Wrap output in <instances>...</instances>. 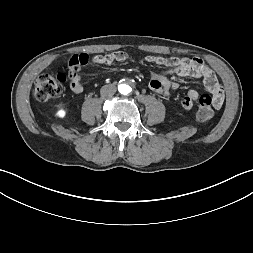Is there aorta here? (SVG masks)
Returning <instances> with one entry per match:
<instances>
[{
	"label": "aorta",
	"instance_id": "1",
	"mask_svg": "<svg viewBox=\"0 0 253 253\" xmlns=\"http://www.w3.org/2000/svg\"><path fill=\"white\" fill-rule=\"evenodd\" d=\"M118 90L121 94L127 95L132 91V88L127 84H120Z\"/></svg>",
	"mask_w": 253,
	"mask_h": 253
}]
</instances>
